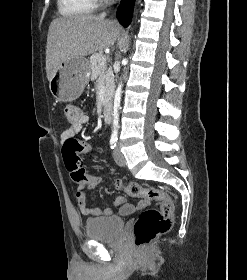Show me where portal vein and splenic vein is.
I'll use <instances>...</instances> for the list:
<instances>
[{"label": "portal vein and splenic vein", "mask_w": 247, "mask_h": 280, "mask_svg": "<svg viewBox=\"0 0 247 280\" xmlns=\"http://www.w3.org/2000/svg\"><path fill=\"white\" fill-rule=\"evenodd\" d=\"M102 66H103V67H106V64H105V63H102Z\"/></svg>", "instance_id": "18ae733b"}]
</instances>
